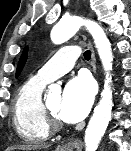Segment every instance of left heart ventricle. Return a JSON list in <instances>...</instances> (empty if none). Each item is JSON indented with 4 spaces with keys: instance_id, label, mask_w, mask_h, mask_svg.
<instances>
[{
    "instance_id": "1",
    "label": "left heart ventricle",
    "mask_w": 131,
    "mask_h": 151,
    "mask_svg": "<svg viewBox=\"0 0 131 151\" xmlns=\"http://www.w3.org/2000/svg\"><path fill=\"white\" fill-rule=\"evenodd\" d=\"M61 100H62L61 95H55L47 100L49 108L57 115H59Z\"/></svg>"
}]
</instances>
